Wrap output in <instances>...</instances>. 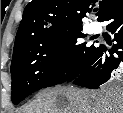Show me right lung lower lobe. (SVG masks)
<instances>
[{
    "label": "right lung lower lobe",
    "mask_w": 123,
    "mask_h": 113,
    "mask_svg": "<svg viewBox=\"0 0 123 113\" xmlns=\"http://www.w3.org/2000/svg\"><path fill=\"white\" fill-rule=\"evenodd\" d=\"M109 21L107 29L114 34L111 49L105 45L96 46L90 60L73 83L82 87L98 89L113 76L114 70L123 67V0L115 3L100 20Z\"/></svg>",
    "instance_id": "right-lung-lower-lobe-1"
}]
</instances>
